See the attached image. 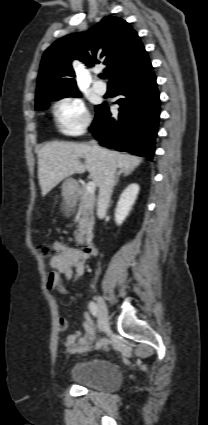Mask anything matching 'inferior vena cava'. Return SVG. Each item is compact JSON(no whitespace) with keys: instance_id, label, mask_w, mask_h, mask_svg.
<instances>
[{"instance_id":"1","label":"inferior vena cava","mask_w":208,"mask_h":425,"mask_svg":"<svg viewBox=\"0 0 208 425\" xmlns=\"http://www.w3.org/2000/svg\"><path fill=\"white\" fill-rule=\"evenodd\" d=\"M92 147L95 151L101 152V149L98 147L96 141H91ZM117 165L111 155H106L104 171L102 176V181L100 184L98 201H97V214L100 215L104 212L110 202V198L113 192L115 185V174H116Z\"/></svg>"}]
</instances>
